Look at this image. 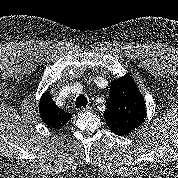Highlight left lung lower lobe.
Instances as JSON below:
<instances>
[{
  "instance_id": "left-lung-lower-lobe-1",
  "label": "left lung lower lobe",
  "mask_w": 178,
  "mask_h": 178,
  "mask_svg": "<svg viewBox=\"0 0 178 178\" xmlns=\"http://www.w3.org/2000/svg\"><path fill=\"white\" fill-rule=\"evenodd\" d=\"M113 133L117 134V135H120V136H123V135H126L127 133H124L122 131H119V130H111Z\"/></svg>"
}]
</instances>
